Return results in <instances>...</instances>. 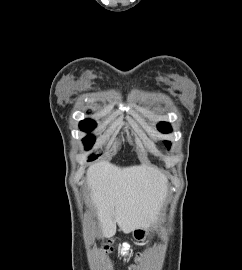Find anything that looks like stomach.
Returning <instances> with one entry per match:
<instances>
[{
  "mask_svg": "<svg viewBox=\"0 0 242 270\" xmlns=\"http://www.w3.org/2000/svg\"><path fill=\"white\" fill-rule=\"evenodd\" d=\"M151 226L153 227L154 230H156L158 228V226H159V221L157 219H155L151 223ZM131 233H132L133 239L137 243L145 241L147 236H148V230L145 227L135 228Z\"/></svg>",
  "mask_w": 242,
  "mask_h": 270,
  "instance_id": "1",
  "label": "stomach"
}]
</instances>
